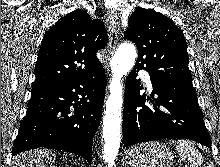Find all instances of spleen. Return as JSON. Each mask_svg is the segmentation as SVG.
<instances>
[{
  "mask_svg": "<svg viewBox=\"0 0 220 167\" xmlns=\"http://www.w3.org/2000/svg\"><path fill=\"white\" fill-rule=\"evenodd\" d=\"M171 144L176 145L177 152L182 160H186L190 167H198L203 163V157L191 141L170 140Z\"/></svg>",
  "mask_w": 220,
  "mask_h": 167,
  "instance_id": "obj_1",
  "label": "spleen"
}]
</instances>
